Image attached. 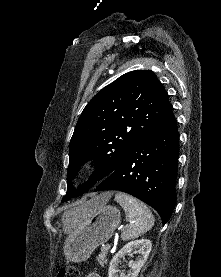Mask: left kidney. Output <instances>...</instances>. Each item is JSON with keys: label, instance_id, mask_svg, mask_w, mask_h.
<instances>
[{"label": "left kidney", "instance_id": "1", "mask_svg": "<svg viewBox=\"0 0 221 277\" xmlns=\"http://www.w3.org/2000/svg\"><path fill=\"white\" fill-rule=\"evenodd\" d=\"M151 248V241L144 238L127 243L112 258L109 265L108 277H118V265L121 259H123L125 255L131 254L134 250H137L140 256L137 260L128 263L130 270L127 274L120 273V277H137L150 254Z\"/></svg>", "mask_w": 221, "mask_h": 277}]
</instances>
